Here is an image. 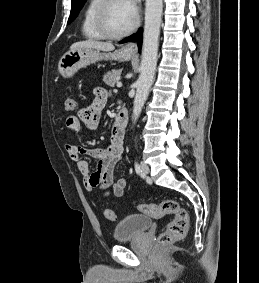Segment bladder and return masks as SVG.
<instances>
[{
  "instance_id": "1",
  "label": "bladder",
  "mask_w": 259,
  "mask_h": 283,
  "mask_svg": "<svg viewBox=\"0 0 259 283\" xmlns=\"http://www.w3.org/2000/svg\"><path fill=\"white\" fill-rule=\"evenodd\" d=\"M152 219L142 214H132L120 221L113 230L116 242L129 240L146 232L152 226Z\"/></svg>"
}]
</instances>
